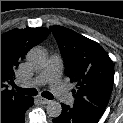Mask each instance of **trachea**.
Listing matches in <instances>:
<instances>
[{
	"instance_id": "trachea-1",
	"label": "trachea",
	"mask_w": 123,
	"mask_h": 123,
	"mask_svg": "<svg viewBox=\"0 0 123 123\" xmlns=\"http://www.w3.org/2000/svg\"><path fill=\"white\" fill-rule=\"evenodd\" d=\"M15 89L18 92H20V93H22L24 95H28V96H35L38 93L35 88H26L25 89V88H20V87L15 86ZM42 96L44 98H47V99H53V95L49 91H43L42 92Z\"/></svg>"
}]
</instances>
